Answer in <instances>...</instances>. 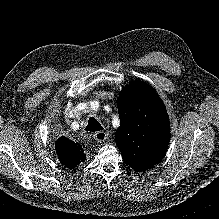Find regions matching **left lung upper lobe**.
Instances as JSON below:
<instances>
[{"mask_svg": "<svg viewBox=\"0 0 219 219\" xmlns=\"http://www.w3.org/2000/svg\"><path fill=\"white\" fill-rule=\"evenodd\" d=\"M118 112L115 139L125 163L138 172L158 164L168 147L170 124L157 93L148 84L134 81L121 91Z\"/></svg>", "mask_w": 219, "mask_h": 219, "instance_id": "1", "label": "left lung upper lobe"}]
</instances>
